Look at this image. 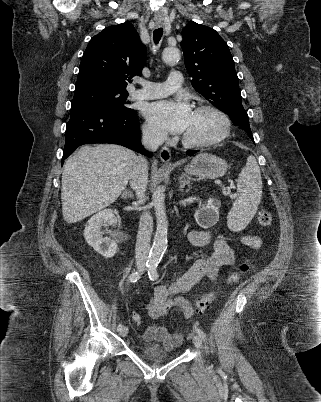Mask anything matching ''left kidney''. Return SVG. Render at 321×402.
Segmentation results:
<instances>
[{"label":"left kidney","mask_w":321,"mask_h":402,"mask_svg":"<svg viewBox=\"0 0 321 402\" xmlns=\"http://www.w3.org/2000/svg\"><path fill=\"white\" fill-rule=\"evenodd\" d=\"M220 202L209 198L206 207L197 210L194 214L197 224L203 228L215 225L219 220Z\"/></svg>","instance_id":"obj_1"}]
</instances>
